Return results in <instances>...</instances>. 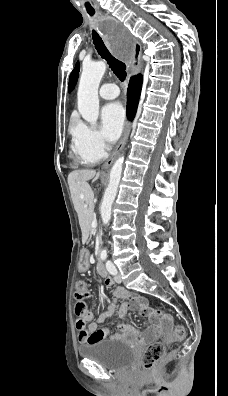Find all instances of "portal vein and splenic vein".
Wrapping results in <instances>:
<instances>
[{"label": "portal vein and splenic vein", "mask_w": 228, "mask_h": 396, "mask_svg": "<svg viewBox=\"0 0 228 396\" xmlns=\"http://www.w3.org/2000/svg\"><path fill=\"white\" fill-rule=\"evenodd\" d=\"M96 225H97V220L94 219L93 222H92V227H96Z\"/></svg>", "instance_id": "portal-vein-and-splenic-vein-1"}]
</instances>
